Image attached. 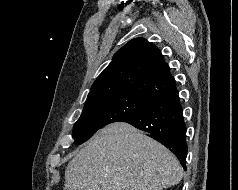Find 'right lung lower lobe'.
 Wrapping results in <instances>:
<instances>
[{"label":"right lung lower lobe","mask_w":238,"mask_h":190,"mask_svg":"<svg viewBox=\"0 0 238 190\" xmlns=\"http://www.w3.org/2000/svg\"><path fill=\"white\" fill-rule=\"evenodd\" d=\"M169 148L186 170V125L176 87L144 111L125 119Z\"/></svg>","instance_id":"right-lung-lower-lobe-1"}]
</instances>
